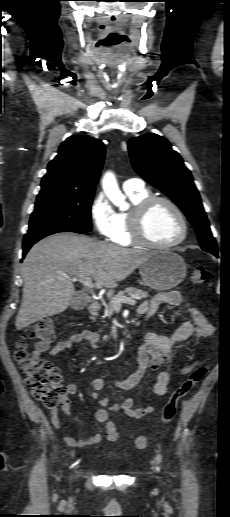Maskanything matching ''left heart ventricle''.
<instances>
[{"label":"left heart ventricle","mask_w":230,"mask_h":517,"mask_svg":"<svg viewBox=\"0 0 230 517\" xmlns=\"http://www.w3.org/2000/svg\"><path fill=\"white\" fill-rule=\"evenodd\" d=\"M145 229L147 236L158 243L176 240L182 233V224L176 213L164 203H156L149 211Z\"/></svg>","instance_id":"1"}]
</instances>
